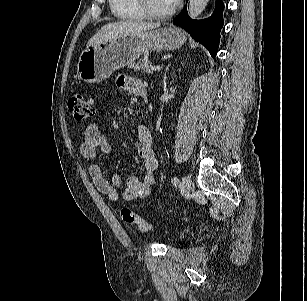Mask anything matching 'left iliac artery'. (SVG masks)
<instances>
[{"label": "left iliac artery", "mask_w": 307, "mask_h": 301, "mask_svg": "<svg viewBox=\"0 0 307 301\" xmlns=\"http://www.w3.org/2000/svg\"><path fill=\"white\" fill-rule=\"evenodd\" d=\"M178 182H179V180H178L177 177H173V178H172V183H173V185L177 186V185H178Z\"/></svg>", "instance_id": "1"}]
</instances>
